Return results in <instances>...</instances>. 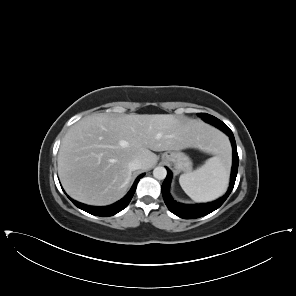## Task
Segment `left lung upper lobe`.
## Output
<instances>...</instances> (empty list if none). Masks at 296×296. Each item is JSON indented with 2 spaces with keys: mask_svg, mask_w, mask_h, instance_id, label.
<instances>
[{
  "mask_svg": "<svg viewBox=\"0 0 296 296\" xmlns=\"http://www.w3.org/2000/svg\"><path fill=\"white\" fill-rule=\"evenodd\" d=\"M204 121L215 125L216 127L219 126H224L227 127L222 121H220L219 119H217L216 117L206 114V113H199L198 114Z\"/></svg>",
  "mask_w": 296,
  "mask_h": 296,
  "instance_id": "obj_1",
  "label": "left lung upper lobe"
}]
</instances>
